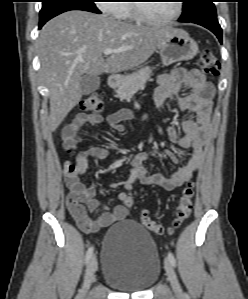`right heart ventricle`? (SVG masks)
<instances>
[{"label": "right heart ventricle", "instance_id": "right-heart-ventricle-1", "mask_svg": "<svg viewBox=\"0 0 248 299\" xmlns=\"http://www.w3.org/2000/svg\"><path fill=\"white\" fill-rule=\"evenodd\" d=\"M122 13L120 14L121 17L129 20V21H136L137 18L134 13V9L131 4L124 3L121 4Z\"/></svg>", "mask_w": 248, "mask_h": 299}]
</instances>
